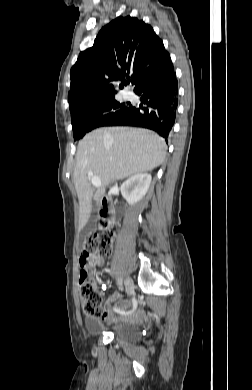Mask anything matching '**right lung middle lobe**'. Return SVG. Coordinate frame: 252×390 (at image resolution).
I'll list each match as a JSON object with an SVG mask.
<instances>
[{
	"label": "right lung middle lobe",
	"mask_w": 252,
	"mask_h": 390,
	"mask_svg": "<svg viewBox=\"0 0 252 390\" xmlns=\"http://www.w3.org/2000/svg\"><path fill=\"white\" fill-rule=\"evenodd\" d=\"M130 103H119L113 96L82 104L71 111V121L74 140L94 128L106 126L115 118L126 112Z\"/></svg>",
	"instance_id": "dd1d6c3e"
}]
</instances>
